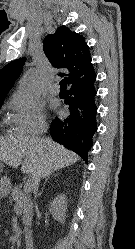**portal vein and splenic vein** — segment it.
Returning <instances> with one entry per match:
<instances>
[{
  "instance_id": "18ae733b",
  "label": "portal vein and splenic vein",
  "mask_w": 135,
  "mask_h": 249,
  "mask_svg": "<svg viewBox=\"0 0 135 249\" xmlns=\"http://www.w3.org/2000/svg\"><path fill=\"white\" fill-rule=\"evenodd\" d=\"M32 188V183L30 180H28L25 184H24V191L25 192H30Z\"/></svg>"
}]
</instances>
